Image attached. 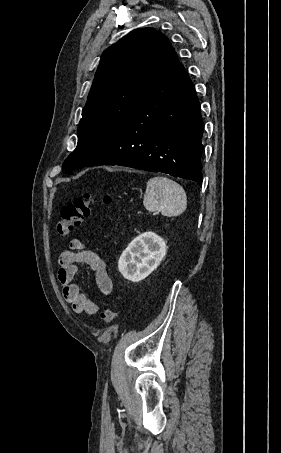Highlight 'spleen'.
Here are the masks:
<instances>
[{
	"mask_svg": "<svg viewBox=\"0 0 281 453\" xmlns=\"http://www.w3.org/2000/svg\"><path fill=\"white\" fill-rule=\"evenodd\" d=\"M143 204L150 212H161L164 216H178L187 206L184 188L166 176L149 178Z\"/></svg>",
	"mask_w": 281,
	"mask_h": 453,
	"instance_id": "1",
	"label": "spleen"
}]
</instances>
